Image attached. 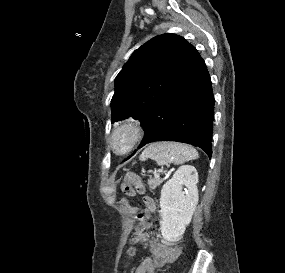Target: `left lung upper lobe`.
<instances>
[{"label": "left lung upper lobe", "instance_id": "1", "mask_svg": "<svg viewBox=\"0 0 285 273\" xmlns=\"http://www.w3.org/2000/svg\"><path fill=\"white\" fill-rule=\"evenodd\" d=\"M192 45L175 34H162L140 46L115 79L112 123L133 117L140 121L172 87Z\"/></svg>", "mask_w": 285, "mask_h": 273}]
</instances>
